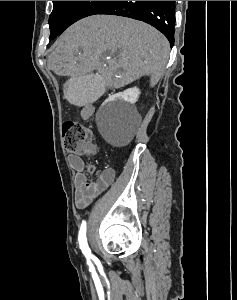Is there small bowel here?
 Listing matches in <instances>:
<instances>
[{
	"label": "small bowel",
	"instance_id": "c3829d8e",
	"mask_svg": "<svg viewBox=\"0 0 237 300\" xmlns=\"http://www.w3.org/2000/svg\"><path fill=\"white\" fill-rule=\"evenodd\" d=\"M93 112L94 106L86 104L82 108L81 116L84 119H89ZM84 154L95 155V146L92 145ZM69 162L75 170V205L78 209L87 207L95 198L107 190L115 180V170L111 167H105L99 172L95 180L90 181L84 174V162L79 155H70Z\"/></svg>",
	"mask_w": 237,
	"mask_h": 300
}]
</instances>
